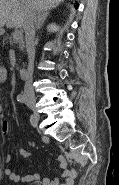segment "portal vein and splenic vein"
Here are the masks:
<instances>
[{
	"label": "portal vein and splenic vein",
	"mask_w": 119,
	"mask_h": 185,
	"mask_svg": "<svg viewBox=\"0 0 119 185\" xmlns=\"http://www.w3.org/2000/svg\"><path fill=\"white\" fill-rule=\"evenodd\" d=\"M21 36H22V33H21V31H19V30H16V31L13 33V38H14V40H19V39L21 38Z\"/></svg>",
	"instance_id": "18ae733b"
}]
</instances>
